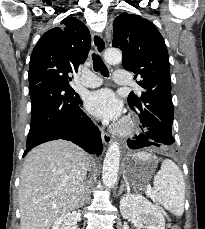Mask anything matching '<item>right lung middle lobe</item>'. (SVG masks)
Wrapping results in <instances>:
<instances>
[{
  "label": "right lung middle lobe",
  "mask_w": 205,
  "mask_h": 229,
  "mask_svg": "<svg viewBox=\"0 0 205 229\" xmlns=\"http://www.w3.org/2000/svg\"><path fill=\"white\" fill-rule=\"evenodd\" d=\"M53 80L65 84L67 86H71L70 82L72 81V79L67 76H56L55 78H53Z\"/></svg>",
  "instance_id": "right-lung-middle-lobe-1"
}]
</instances>
